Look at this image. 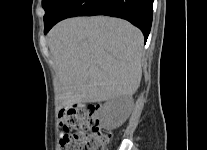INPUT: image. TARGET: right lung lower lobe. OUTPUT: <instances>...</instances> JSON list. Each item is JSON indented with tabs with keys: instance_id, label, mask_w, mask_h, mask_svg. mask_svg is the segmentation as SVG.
I'll use <instances>...</instances> for the list:
<instances>
[{
	"instance_id": "obj_1",
	"label": "right lung lower lobe",
	"mask_w": 207,
	"mask_h": 150,
	"mask_svg": "<svg viewBox=\"0 0 207 150\" xmlns=\"http://www.w3.org/2000/svg\"><path fill=\"white\" fill-rule=\"evenodd\" d=\"M152 13L153 0H65L53 18L44 23V33L68 17L106 15L126 19L137 26L146 41L151 29Z\"/></svg>"
}]
</instances>
